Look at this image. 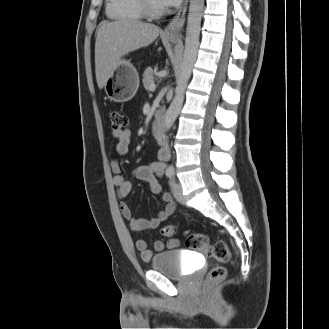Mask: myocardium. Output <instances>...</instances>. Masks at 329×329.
<instances>
[{"label":"myocardium","mask_w":329,"mask_h":329,"mask_svg":"<svg viewBox=\"0 0 329 329\" xmlns=\"http://www.w3.org/2000/svg\"><path fill=\"white\" fill-rule=\"evenodd\" d=\"M139 4L145 16L149 18H159L163 16L167 9L165 7L157 8L152 4L151 0H139Z\"/></svg>","instance_id":"f54148a6"}]
</instances>
